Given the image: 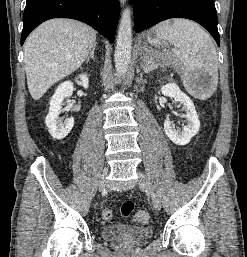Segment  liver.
<instances>
[{
    "mask_svg": "<svg viewBox=\"0 0 247 257\" xmlns=\"http://www.w3.org/2000/svg\"><path fill=\"white\" fill-rule=\"evenodd\" d=\"M96 41V31L72 19H51L27 38L24 64L27 85L39 100L56 82L77 70Z\"/></svg>",
    "mask_w": 247,
    "mask_h": 257,
    "instance_id": "1",
    "label": "liver"
}]
</instances>
